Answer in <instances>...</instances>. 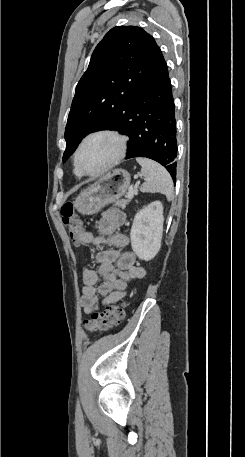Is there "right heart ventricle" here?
<instances>
[{
    "label": "right heart ventricle",
    "instance_id": "1",
    "mask_svg": "<svg viewBox=\"0 0 245 457\" xmlns=\"http://www.w3.org/2000/svg\"><path fill=\"white\" fill-rule=\"evenodd\" d=\"M74 172H75V174H76L77 176H79V177L82 176V174H81L80 171L78 170L76 164H75V166H74Z\"/></svg>",
    "mask_w": 245,
    "mask_h": 457
}]
</instances>
